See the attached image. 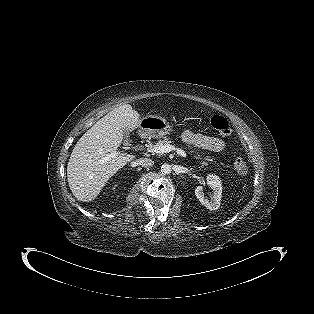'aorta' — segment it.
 Instances as JSON below:
<instances>
[{
    "label": "aorta",
    "instance_id": "762f6f07",
    "mask_svg": "<svg viewBox=\"0 0 314 314\" xmlns=\"http://www.w3.org/2000/svg\"><path fill=\"white\" fill-rule=\"evenodd\" d=\"M161 173L163 175H168L171 173V166L169 164H163L161 166Z\"/></svg>",
    "mask_w": 314,
    "mask_h": 314
}]
</instances>
